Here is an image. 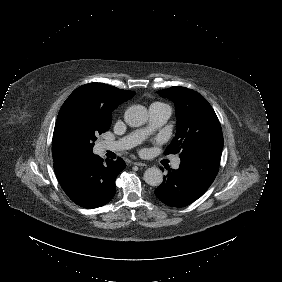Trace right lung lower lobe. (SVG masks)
Here are the masks:
<instances>
[{"mask_svg":"<svg viewBox=\"0 0 282 282\" xmlns=\"http://www.w3.org/2000/svg\"><path fill=\"white\" fill-rule=\"evenodd\" d=\"M125 166L121 158L103 164V159L92 153L55 162L54 170L70 199L91 209L105 205L114 197L116 177Z\"/></svg>","mask_w":282,"mask_h":282,"instance_id":"right-lung-lower-lobe-1","label":"right lung lower lobe"}]
</instances>
